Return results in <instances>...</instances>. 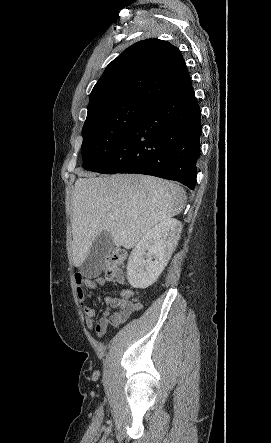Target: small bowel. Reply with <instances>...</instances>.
I'll return each instance as SVG.
<instances>
[{
  "label": "small bowel",
  "mask_w": 271,
  "mask_h": 443,
  "mask_svg": "<svg viewBox=\"0 0 271 443\" xmlns=\"http://www.w3.org/2000/svg\"><path fill=\"white\" fill-rule=\"evenodd\" d=\"M76 293L84 313L86 327L95 330L99 338L104 337L108 326L118 327L129 317L142 308L139 300L133 299V292L130 289H123L119 296L105 297L107 311L98 320H95L96 311L87 302L85 288L96 289L105 285V279L100 276L87 277L82 274H75Z\"/></svg>",
  "instance_id": "obj_1"
}]
</instances>
